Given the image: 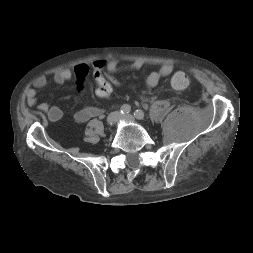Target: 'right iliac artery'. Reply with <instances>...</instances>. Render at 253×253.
Instances as JSON below:
<instances>
[{"instance_id": "82829eb1", "label": "right iliac artery", "mask_w": 253, "mask_h": 253, "mask_svg": "<svg viewBox=\"0 0 253 253\" xmlns=\"http://www.w3.org/2000/svg\"><path fill=\"white\" fill-rule=\"evenodd\" d=\"M131 111V107L128 104H124L120 108V113L123 115L128 114Z\"/></svg>"}]
</instances>
